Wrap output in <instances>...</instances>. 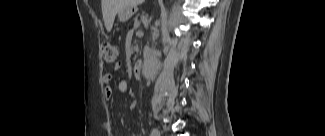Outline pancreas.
I'll use <instances>...</instances> for the list:
<instances>
[{
  "mask_svg": "<svg viewBox=\"0 0 325 136\" xmlns=\"http://www.w3.org/2000/svg\"><path fill=\"white\" fill-rule=\"evenodd\" d=\"M127 23H128L129 25H133V24L135 23V20H134L133 18H129V19L127 20Z\"/></svg>",
  "mask_w": 325,
  "mask_h": 136,
  "instance_id": "obj_1",
  "label": "pancreas"
}]
</instances>
